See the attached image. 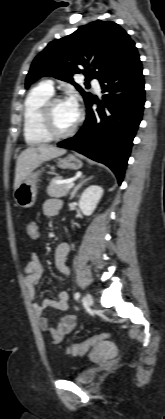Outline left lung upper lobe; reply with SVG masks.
<instances>
[{
  "label": "left lung upper lobe",
  "mask_w": 165,
  "mask_h": 419,
  "mask_svg": "<svg viewBox=\"0 0 165 419\" xmlns=\"http://www.w3.org/2000/svg\"><path fill=\"white\" fill-rule=\"evenodd\" d=\"M134 49L135 43L118 24L91 22L69 36L50 42L36 56L26 78V88L42 76H53L75 85L87 104L92 95L74 82V74L84 73L87 78L101 80Z\"/></svg>",
  "instance_id": "left-lung-upper-lobe-1"
}]
</instances>
